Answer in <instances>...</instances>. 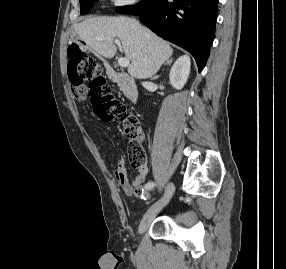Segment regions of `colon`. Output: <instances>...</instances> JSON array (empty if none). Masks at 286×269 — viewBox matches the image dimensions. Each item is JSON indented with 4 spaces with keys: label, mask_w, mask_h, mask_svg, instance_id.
Here are the masks:
<instances>
[{
    "label": "colon",
    "mask_w": 286,
    "mask_h": 269,
    "mask_svg": "<svg viewBox=\"0 0 286 269\" xmlns=\"http://www.w3.org/2000/svg\"><path fill=\"white\" fill-rule=\"evenodd\" d=\"M67 57L73 96L78 98L81 88L87 84L91 89L95 114L102 120L120 123L132 167L138 169L145 165L146 154L142 146L140 122L137 117L127 115L126 104L112 94L99 62L76 43L68 45ZM136 194L143 199L150 197L141 187L136 189Z\"/></svg>",
    "instance_id": "colon-1"
}]
</instances>
